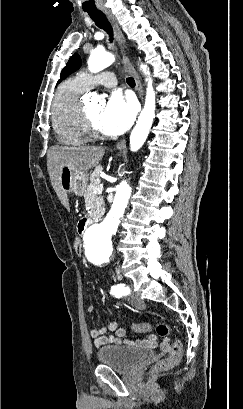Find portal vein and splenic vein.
I'll use <instances>...</instances> for the list:
<instances>
[{
	"mask_svg": "<svg viewBox=\"0 0 243 409\" xmlns=\"http://www.w3.org/2000/svg\"><path fill=\"white\" fill-rule=\"evenodd\" d=\"M102 191H103V185H102V184H100L99 186H97V187L94 189V193H95V194H102Z\"/></svg>",
	"mask_w": 243,
	"mask_h": 409,
	"instance_id": "obj_1",
	"label": "portal vein and splenic vein"
}]
</instances>
